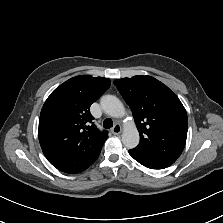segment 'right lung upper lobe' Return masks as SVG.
<instances>
[{
	"label": "right lung upper lobe",
	"mask_w": 223,
	"mask_h": 223,
	"mask_svg": "<svg viewBox=\"0 0 223 223\" xmlns=\"http://www.w3.org/2000/svg\"><path fill=\"white\" fill-rule=\"evenodd\" d=\"M110 80L73 77L57 87L41 110L38 137L49 162L66 173H79L98 158L108 137L91 121L90 106L108 88Z\"/></svg>",
	"instance_id": "1"
}]
</instances>
